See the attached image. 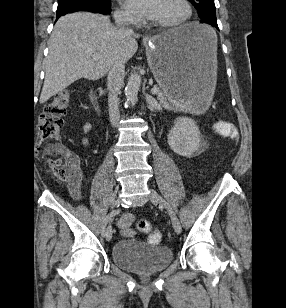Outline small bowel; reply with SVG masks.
<instances>
[{
  "instance_id": "1",
  "label": "small bowel",
  "mask_w": 286,
  "mask_h": 308,
  "mask_svg": "<svg viewBox=\"0 0 286 308\" xmlns=\"http://www.w3.org/2000/svg\"><path fill=\"white\" fill-rule=\"evenodd\" d=\"M83 130L85 135L82 138V145L88 146L89 139L86 136V134L90 131V125L89 124L84 125ZM229 135L232 139H236L238 137L237 131L231 125H230ZM70 163L74 168V172L71 179L68 182L67 187L72 198H74L75 200H79L81 198V190H80L81 174L78 170V160L74 156H70ZM133 221H134V216L130 213H125L119 218L117 225L124 235L131 236L133 234L132 230Z\"/></svg>"
}]
</instances>
